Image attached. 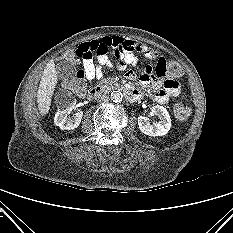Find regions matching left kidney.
I'll return each instance as SVG.
<instances>
[{"label":"left kidney","instance_id":"left-kidney-1","mask_svg":"<svg viewBox=\"0 0 233 233\" xmlns=\"http://www.w3.org/2000/svg\"><path fill=\"white\" fill-rule=\"evenodd\" d=\"M151 111L153 115L158 116L159 121L151 124L148 117L140 116L138 117L139 129L145 135L152 137L166 135L171 128V119L167 109L163 106L154 105Z\"/></svg>","mask_w":233,"mask_h":233}]
</instances>
